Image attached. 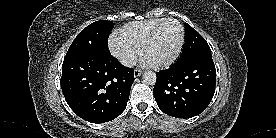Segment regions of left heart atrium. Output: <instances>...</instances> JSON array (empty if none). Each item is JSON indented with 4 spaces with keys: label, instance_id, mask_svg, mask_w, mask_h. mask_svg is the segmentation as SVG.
<instances>
[{
    "label": "left heart atrium",
    "instance_id": "obj_1",
    "mask_svg": "<svg viewBox=\"0 0 276 138\" xmlns=\"http://www.w3.org/2000/svg\"><path fill=\"white\" fill-rule=\"evenodd\" d=\"M142 63L144 64V65H152L153 63L150 61V60H148L146 57L144 58V60L142 61Z\"/></svg>",
    "mask_w": 276,
    "mask_h": 138
}]
</instances>
